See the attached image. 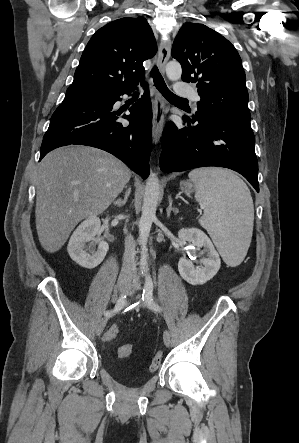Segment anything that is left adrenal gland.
<instances>
[{
  "mask_svg": "<svg viewBox=\"0 0 299 443\" xmlns=\"http://www.w3.org/2000/svg\"><path fill=\"white\" fill-rule=\"evenodd\" d=\"M172 202H173L172 198L169 197V206H168V208L166 210L168 218L170 217L171 212H173L174 214L178 213V210L176 208L172 207Z\"/></svg>",
  "mask_w": 299,
  "mask_h": 443,
  "instance_id": "1",
  "label": "left adrenal gland"
}]
</instances>
